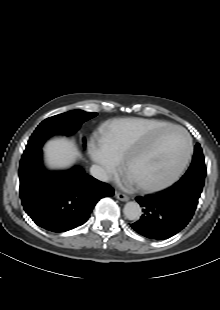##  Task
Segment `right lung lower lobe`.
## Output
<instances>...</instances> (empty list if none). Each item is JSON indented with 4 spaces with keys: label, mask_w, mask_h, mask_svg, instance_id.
<instances>
[{
    "label": "right lung lower lobe",
    "mask_w": 220,
    "mask_h": 310,
    "mask_svg": "<svg viewBox=\"0 0 220 310\" xmlns=\"http://www.w3.org/2000/svg\"><path fill=\"white\" fill-rule=\"evenodd\" d=\"M41 148L25 150L19 166L20 197L30 218L52 232H65L84 224L95 204L114 190L80 167L63 172L44 168Z\"/></svg>",
    "instance_id": "98d812e1"
}]
</instances>
